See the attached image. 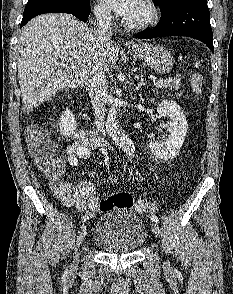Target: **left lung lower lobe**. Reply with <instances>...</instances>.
Segmentation results:
<instances>
[{
    "label": "left lung lower lobe",
    "instance_id": "left-lung-lower-lobe-1",
    "mask_svg": "<svg viewBox=\"0 0 233 294\" xmlns=\"http://www.w3.org/2000/svg\"><path fill=\"white\" fill-rule=\"evenodd\" d=\"M160 10L158 24L139 32L138 39L187 36L202 41L214 53L207 0H175Z\"/></svg>",
    "mask_w": 233,
    "mask_h": 294
}]
</instances>
